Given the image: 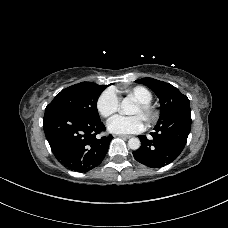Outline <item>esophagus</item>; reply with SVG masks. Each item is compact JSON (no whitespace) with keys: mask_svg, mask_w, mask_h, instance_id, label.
<instances>
[{"mask_svg":"<svg viewBox=\"0 0 228 228\" xmlns=\"http://www.w3.org/2000/svg\"><path fill=\"white\" fill-rule=\"evenodd\" d=\"M119 137L125 138V139H129V138H131L132 136H131V135H119Z\"/></svg>","mask_w":228,"mask_h":228,"instance_id":"esophagus-1","label":"esophagus"}]
</instances>
